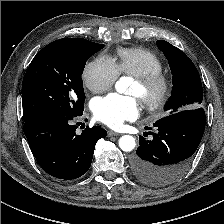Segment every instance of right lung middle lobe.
Returning a JSON list of instances; mask_svg holds the SVG:
<instances>
[{
    "instance_id": "right-lung-middle-lobe-1",
    "label": "right lung middle lobe",
    "mask_w": 224,
    "mask_h": 224,
    "mask_svg": "<svg viewBox=\"0 0 224 224\" xmlns=\"http://www.w3.org/2000/svg\"><path fill=\"white\" fill-rule=\"evenodd\" d=\"M103 44L56 40L39 51L22 83L23 119L57 113L73 115L83 109L85 94L81 75L86 61Z\"/></svg>"
}]
</instances>
